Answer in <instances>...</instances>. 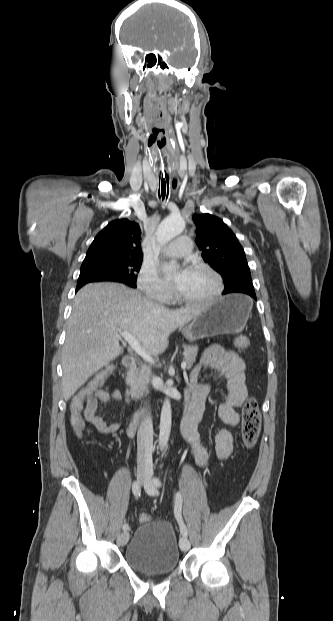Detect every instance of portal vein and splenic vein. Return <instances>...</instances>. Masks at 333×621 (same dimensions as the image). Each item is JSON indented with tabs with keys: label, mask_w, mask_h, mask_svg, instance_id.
Returning a JSON list of instances; mask_svg holds the SVG:
<instances>
[{
	"label": "portal vein and splenic vein",
	"mask_w": 333,
	"mask_h": 621,
	"mask_svg": "<svg viewBox=\"0 0 333 621\" xmlns=\"http://www.w3.org/2000/svg\"><path fill=\"white\" fill-rule=\"evenodd\" d=\"M121 336L124 338V340L126 342L129 343V345L132 347L133 350H135V352L140 355L145 361L149 362V363H154L152 357L145 351V349H143L141 347V345L139 344L138 340L136 339V337L127 331H121L120 332ZM187 366V362L183 361L181 363V368L185 369Z\"/></svg>",
	"instance_id": "obj_1"
}]
</instances>
